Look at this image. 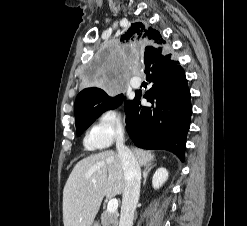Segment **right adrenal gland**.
<instances>
[{
  "label": "right adrenal gland",
  "instance_id": "obj_1",
  "mask_svg": "<svg viewBox=\"0 0 247 226\" xmlns=\"http://www.w3.org/2000/svg\"><path fill=\"white\" fill-rule=\"evenodd\" d=\"M154 166H155V165H148V166H145V167H144V170H143V186H145V184H146V180H147L148 173L151 171V169H152Z\"/></svg>",
  "mask_w": 247,
  "mask_h": 226
}]
</instances>
